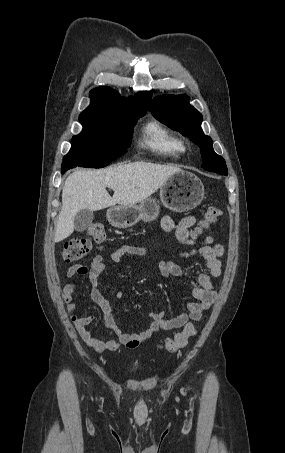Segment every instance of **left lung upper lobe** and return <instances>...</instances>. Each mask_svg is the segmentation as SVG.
<instances>
[{
    "label": "left lung upper lobe",
    "mask_w": 285,
    "mask_h": 453,
    "mask_svg": "<svg viewBox=\"0 0 285 453\" xmlns=\"http://www.w3.org/2000/svg\"><path fill=\"white\" fill-rule=\"evenodd\" d=\"M149 109L160 122L180 131L182 135L192 139L201 150L202 168L227 175V166L223 157L213 150V141L204 135L201 129L202 115L189 104L186 95H168L156 97Z\"/></svg>",
    "instance_id": "5c2ea615"
}]
</instances>
